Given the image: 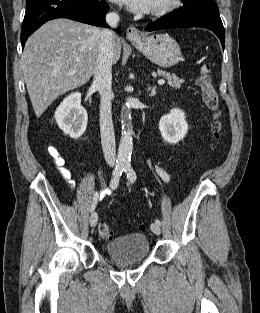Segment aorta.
Listing matches in <instances>:
<instances>
[{
    "instance_id": "762f6f07",
    "label": "aorta",
    "mask_w": 260,
    "mask_h": 313,
    "mask_svg": "<svg viewBox=\"0 0 260 313\" xmlns=\"http://www.w3.org/2000/svg\"><path fill=\"white\" fill-rule=\"evenodd\" d=\"M122 135L118 147L117 161L119 164H129L133 150V131L131 126V111L129 106L122 111Z\"/></svg>"
}]
</instances>
